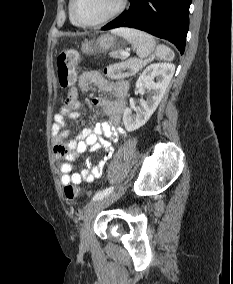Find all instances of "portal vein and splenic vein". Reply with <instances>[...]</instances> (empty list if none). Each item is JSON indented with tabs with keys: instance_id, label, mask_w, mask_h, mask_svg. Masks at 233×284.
Segmentation results:
<instances>
[{
	"instance_id": "obj_1",
	"label": "portal vein and splenic vein",
	"mask_w": 233,
	"mask_h": 284,
	"mask_svg": "<svg viewBox=\"0 0 233 284\" xmlns=\"http://www.w3.org/2000/svg\"><path fill=\"white\" fill-rule=\"evenodd\" d=\"M122 55H123L124 57H128L130 54H129L128 52H124V53H122Z\"/></svg>"
}]
</instances>
